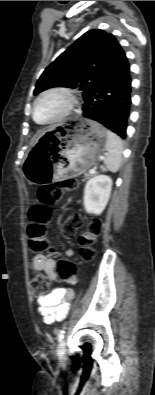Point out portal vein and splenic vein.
<instances>
[{
    "instance_id": "portal-vein-and-splenic-vein-1",
    "label": "portal vein and splenic vein",
    "mask_w": 155,
    "mask_h": 395,
    "mask_svg": "<svg viewBox=\"0 0 155 395\" xmlns=\"http://www.w3.org/2000/svg\"><path fill=\"white\" fill-rule=\"evenodd\" d=\"M96 172V168H93L89 171V173L94 174Z\"/></svg>"
}]
</instances>
